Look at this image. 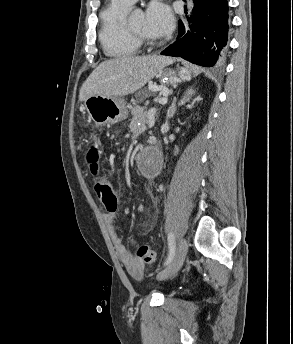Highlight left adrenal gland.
I'll list each match as a JSON object with an SVG mask.
<instances>
[{"mask_svg": "<svg viewBox=\"0 0 293 344\" xmlns=\"http://www.w3.org/2000/svg\"><path fill=\"white\" fill-rule=\"evenodd\" d=\"M194 90L193 89H188L184 95V97L178 102V106H182L184 105L186 102H189L192 95L194 94ZM176 102H177V98L174 97L173 102L171 104V106L169 107L168 110V117L172 118L177 110V106H176Z\"/></svg>", "mask_w": 293, "mask_h": 344, "instance_id": "a2214340", "label": "left adrenal gland"}]
</instances>
